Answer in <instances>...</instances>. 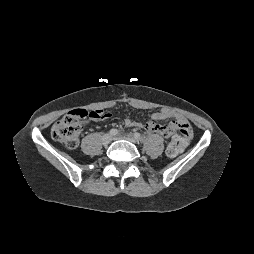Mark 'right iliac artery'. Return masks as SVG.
Masks as SVG:
<instances>
[{
    "instance_id": "82829eb1",
    "label": "right iliac artery",
    "mask_w": 254,
    "mask_h": 254,
    "mask_svg": "<svg viewBox=\"0 0 254 254\" xmlns=\"http://www.w3.org/2000/svg\"><path fill=\"white\" fill-rule=\"evenodd\" d=\"M109 133L111 135H117L118 134V130L117 129H111Z\"/></svg>"
}]
</instances>
